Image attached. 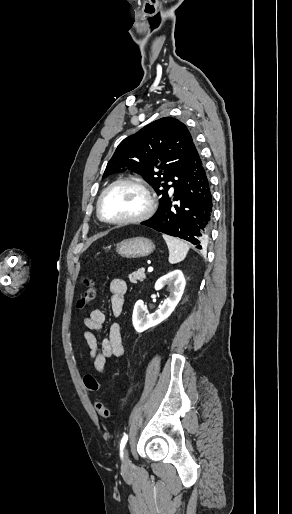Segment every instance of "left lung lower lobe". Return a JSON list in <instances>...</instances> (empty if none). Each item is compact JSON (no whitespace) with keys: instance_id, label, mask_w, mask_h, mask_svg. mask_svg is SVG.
<instances>
[{"instance_id":"0a47b994","label":"left lung lower lobe","mask_w":292,"mask_h":514,"mask_svg":"<svg viewBox=\"0 0 292 514\" xmlns=\"http://www.w3.org/2000/svg\"><path fill=\"white\" fill-rule=\"evenodd\" d=\"M212 207L210 183L193 143L188 165L174 186V194L161 198L155 215L141 224L185 239L202 249L209 237Z\"/></svg>"}]
</instances>
